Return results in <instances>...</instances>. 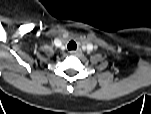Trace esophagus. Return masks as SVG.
Returning a JSON list of instances; mask_svg holds the SVG:
<instances>
[{
	"label": "esophagus",
	"mask_w": 151,
	"mask_h": 114,
	"mask_svg": "<svg viewBox=\"0 0 151 114\" xmlns=\"http://www.w3.org/2000/svg\"><path fill=\"white\" fill-rule=\"evenodd\" d=\"M70 55H72V56H79V55H81V51L80 50L70 51Z\"/></svg>",
	"instance_id": "34e87169"
}]
</instances>
